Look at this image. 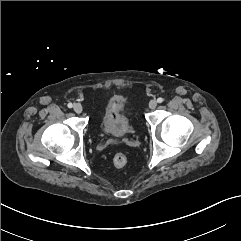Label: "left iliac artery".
I'll return each instance as SVG.
<instances>
[{
	"instance_id": "1",
	"label": "left iliac artery",
	"mask_w": 241,
	"mask_h": 241,
	"mask_svg": "<svg viewBox=\"0 0 241 241\" xmlns=\"http://www.w3.org/2000/svg\"><path fill=\"white\" fill-rule=\"evenodd\" d=\"M157 102H158V103H162V102H163V98L159 97V98L157 99Z\"/></svg>"
}]
</instances>
